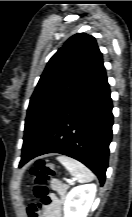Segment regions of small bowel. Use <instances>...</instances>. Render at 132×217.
Instances as JSON below:
<instances>
[{
	"mask_svg": "<svg viewBox=\"0 0 132 217\" xmlns=\"http://www.w3.org/2000/svg\"><path fill=\"white\" fill-rule=\"evenodd\" d=\"M53 188L58 192L59 197L53 196L49 205L42 206L38 217H62V197L66 193V187L59 181H55Z\"/></svg>",
	"mask_w": 132,
	"mask_h": 217,
	"instance_id": "c3829d8e",
	"label": "small bowel"
}]
</instances>
